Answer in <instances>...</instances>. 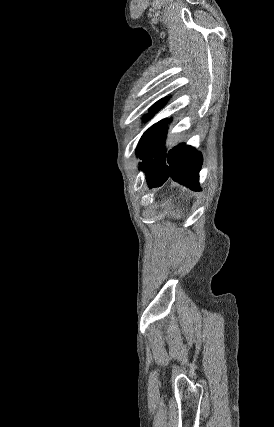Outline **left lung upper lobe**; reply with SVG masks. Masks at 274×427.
Instances as JSON below:
<instances>
[{"instance_id": "obj_1", "label": "left lung upper lobe", "mask_w": 274, "mask_h": 427, "mask_svg": "<svg viewBox=\"0 0 274 427\" xmlns=\"http://www.w3.org/2000/svg\"><path fill=\"white\" fill-rule=\"evenodd\" d=\"M165 99H163V100H160V101H158L156 104H154L153 105V107L150 109V111H151V115H153L156 111H158L160 108H162V106L165 104ZM149 130V129H148ZM148 130L143 134V136L141 137V139H140V142H139V144H138V147H137V150H136V153H138V150H139V147H140V144H141V142H142V140H143V138H144V136L146 135V133L148 132Z\"/></svg>"}]
</instances>
